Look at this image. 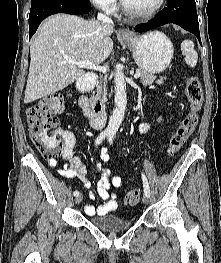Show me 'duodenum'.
<instances>
[{
  "mask_svg": "<svg viewBox=\"0 0 221 263\" xmlns=\"http://www.w3.org/2000/svg\"><path fill=\"white\" fill-rule=\"evenodd\" d=\"M97 82V76L94 73H86L78 82L79 90L82 92L78 99V103L82 111L91 120V124L95 129L103 127L106 121L103 108L100 104L94 103L90 97L86 95L91 91Z\"/></svg>",
  "mask_w": 221,
  "mask_h": 263,
  "instance_id": "410a0bca",
  "label": "duodenum"
}]
</instances>
